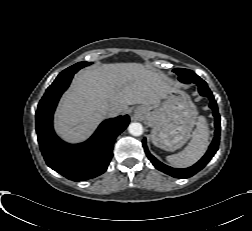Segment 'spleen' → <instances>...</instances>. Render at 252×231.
Returning a JSON list of instances; mask_svg holds the SVG:
<instances>
[{
    "mask_svg": "<svg viewBox=\"0 0 252 231\" xmlns=\"http://www.w3.org/2000/svg\"><path fill=\"white\" fill-rule=\"evenodd\" d=\"M209 140V128L206 119L199 116L192 139L181 152L167 156V161L174 167L185 168L195 164L206 152Z\"/></svg>",
    "mask_w": 252,
    "mask_h": 231,
    "instance_id": "1",
    "label": "spleen"
}]
</instances>
